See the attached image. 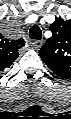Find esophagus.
<instances>
[{
	"label": "esophagus",
	"mask_w": 71,
	"mask_h": 119,
	"mask_svg": "<svg viewBox=\"0 0 71 119\" xmlns=\"http://www.w3.org/2000/svg\"><path fill=\"white\" fill-rule=\"evenodd\" d=\"M42 45H43V41H40V40H35V41L31 42L32 48H34L36 50L40 49L42 47Z\"/></svg>",
	"instance_id": "34e87169"
}]
</instances>
